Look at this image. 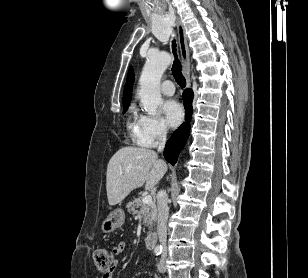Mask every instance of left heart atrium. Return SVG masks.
Instances as JSON below:
<instances>
[{
  "instance_id": "39dd6f15",
  "label": "left heart atrium",
  "mask_w": 308,
  "mask_h": 278,
  "mask_svg": "<svg viewBox=\"0 0 308 278\" xmlns=\"http://www.w3.org/2000/svg\"><path fill=\"white\" fill-rule=\"evenodd\" d=\"M162 114L165 123L171 127H177L183 119V108L179 102L175 100L165 101L162 105Z\"/></svg>"
}]
</instances>
